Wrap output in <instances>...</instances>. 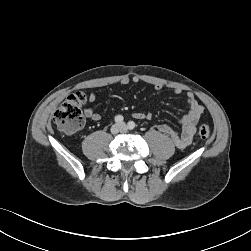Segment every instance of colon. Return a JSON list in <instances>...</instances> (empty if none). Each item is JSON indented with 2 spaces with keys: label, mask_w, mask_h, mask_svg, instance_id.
I'll use <instances>...</instances> for the list:
<instances>
[{
  "label": "colon",
  "mask_w": 251,
  "mask_h": 251,
  "mask_svg": "<svg viewBox=\"0 0 251 251\" xmlns=\"http://www.w3.org/2000/svg\"><path fill=\"white\" fill-rule=\"evenodd\" d=\"M86 101L83 92H75L69 95L54 113V122L65 132H75L84 125L82 105ZM199 136L206 140L211 136V130L207 125L199 127Z\"/></svg>",
  "instance_id": "colon-1"
}]
</instances>
